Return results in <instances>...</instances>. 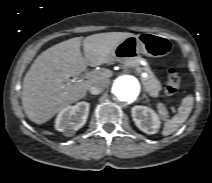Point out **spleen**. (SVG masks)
Wrapping results in <instances>:
<instances>
[{
    "label": "spleen",
    "mask_w": 212,
    "mask_h": 183,
    "mask_svg": "<svg viewBox=\"0 0 212 183\" xmlns=\"http://www.w3.org/2000/svg\"><path fill=\"white\" fill-rule=\"evenodd\" d=\"M194 98L192 95L186 96L178 108V114L172 119H168V111L161 103L157 104V109L164 122V128L162 131L163 136L170 135L177 131V129L187 120L189 114L193 108Z\"/></svg>",
    "instance_id": "spleen-1"
}]
</instances>
